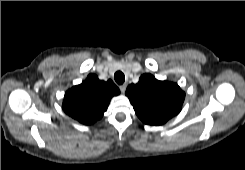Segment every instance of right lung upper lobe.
<instances>
[{
  "label": "right lung upper lobe",
  "instance_id": "obj_1",
  "mask_svg": "<svg viewBox=\"0 0 245 170\" xmlns=\"http://www.w3.org/2000/svg\"><path fill=\"white\" fill-rule=\"evenodd\" d=\"M118 94L120 90L111 80L101 81L90 74L84 82L65 93L62 108L75 120L89 125L102 118L111 98Z\"/></svg>",
  "mask_w": 245,
  "mask_h": 170
}]
</instances>
